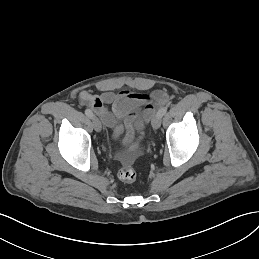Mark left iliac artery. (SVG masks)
I'll list each match as a JSON object with an SVG mask.
<instances>
[{
  "instance_id": "1",
  "label": "left iliac artery",
  "mask_w": 259,
  "mask_h": 259,
  "mask_svg": "<svg viewBox=\"0 0 259 259\" xmlns=\"http://www.w3.org/2000/svg\"><path fill=\"white\" fill-rule=\"evenodd\" d=\"M166 112H167V107H162L161 109H159L157 114L162 117L163 115L166 114Z\"/></svg>"
}]
</instances>
